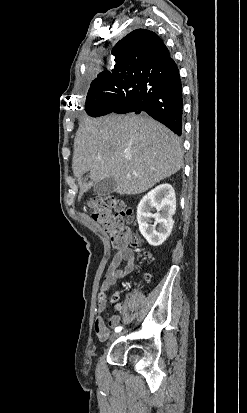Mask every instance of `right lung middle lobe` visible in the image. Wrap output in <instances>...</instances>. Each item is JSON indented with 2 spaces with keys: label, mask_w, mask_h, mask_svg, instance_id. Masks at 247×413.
<instances>
[{
  "label": "right lung middle lobe",
  "mask_w": 247,
  "mask_h": 413,
  "mask_svg": "<svg viewBox=\"0 0 247 413\" xmlns=\"http://www.w3.org/2000/svg\"><path fill=\"white\" fill-rule=\"evenodd\" d=\"M124 88L123 81L93 80L86 97L85 110L87 114L95 117L106 102L121 94Z\"/></svg>",
  "instance_id": "obj_1"
}]
</instances>
